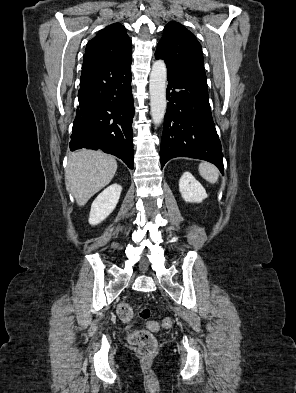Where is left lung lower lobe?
Here are the masks:
<instances>
[{
  "instance_id": "left-lung-lower-lobe-1",
  "label": "left lung lower lobe",
  "mask_w": 296,
  "mask_h": 393,
  "mask_svg": "<svg viewBox=\"0 0 296 393\" xmlns=\"http://www.w3.org/2000/svg\"><path fill=\"white\" fill-rule=\"evenodd\" d=\"M167 110L164 118L161 168L174 157L215 164L223 174L221 143L212 119L206 75L167 68Z\"/></svg>"
}]
</instances>
